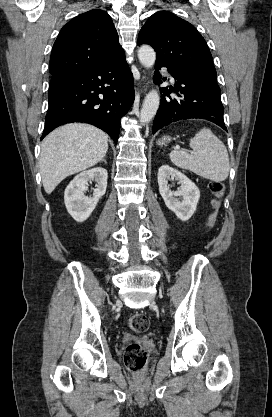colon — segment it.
Wrapping results in <instances>:
<instances>
[{
	"instance_id": "obj_1",
	"label": "colon",
	"mask_w": 272,
	"mask_h": 417,
	"mask_svg": "<svg viewBox=\"0 0 272 417\" xmlns=\"http://www.w3.org/2000/svg\"><path fill=\"white\" fill-rule=\"evenodd\" d=\"M210 190L214 195L212 200V212L209 214L205 227L209 230L214 226L218 210L221 206V199L225 192V185L219 181L210 183ZM128 327L130 330L142 333L149 327V320L143 314H133L128 318ZM124 361L128 369L134 373L139 374L147 363V352L139 343H131L126 347L124 354Z\"/></svg>"
}]
</instances>
